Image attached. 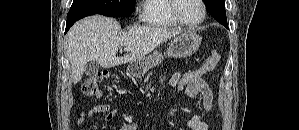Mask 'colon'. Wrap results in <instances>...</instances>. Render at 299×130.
<instances>
[{
  "instance_id": "5ec220e1",
  "label": "colon",
  "mask_w": 299,
  "mask_h": 130,
  "mask_svg": "<svg viewBox=\"0 0 299 130\" xmlns=\"http://www.w3.org/2000/svg\"><path fill=\"white\" fill-rule=\"evenodd\" d=\"M220 61V54L213 51L212 54L197 69L182 73L173 86L175 93L184 91L188 86L203 80L204 75L213 71ZM112 77L109 71H101L88 77L81 86V91L88 97H99L101 95V85Z\"/></svg>"
}]
</instances>
